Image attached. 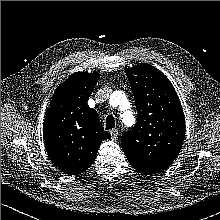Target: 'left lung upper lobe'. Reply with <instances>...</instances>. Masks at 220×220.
Instances as JSON below:
<instances>
[{
    "label": "left lung upper lobe",
    "mask_w": 220,
    "mask_h": 220,
    "mask_svg": "<svg viewBox=\"0 0 220 220\" xmlns=\"http://www.w3.org/2000/svg\"><path fill=\"white\" fill-rule=\"evenodd\" d=\"M138 113L137 124L123 133L121 146L133 168L155 176L178 156L185 120L179 97L166 76L140 64L126 70Z\"/></svg>",
    "instance_id": "5c2ea615"
}]
</instances>
